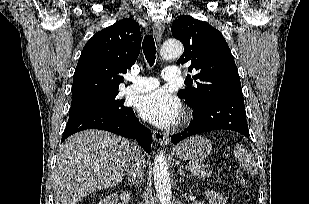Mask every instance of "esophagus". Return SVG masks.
Listing matches in <instances>:
<instances>
[{
    "instance_id": "esophagus-1",
    "label": "esophagus",
    "mask_w": 309,
    "mask_h": 204,
    "mask_svg": "<svg viewBox=\"0 0 309 204\" xmlns=\"http://www.w3.org/2000/svg\"><path fill=\"white\" fill-rule=\"evenodd\" d=\"M163 32L164 25L160 22H155L153 24V34L158 42L161 40ZM153 138L160 145H167L169 143V136L160 131H153Z\"/></svg>"
}]
</instances>
